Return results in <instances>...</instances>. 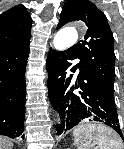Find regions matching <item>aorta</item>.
Listing matches in <instances>:
<instances>
[{"label": "aorta", "instance_id": "762f6f07", "mask_svg": "<svg viewBox=\"0 0 124 149\" xmlns=\"http://www.w3.org/2000/svg\"><path fill=\"white\" fill-rule=\"evenodd\" d=\"M78 40V33L73 27H64L60 29L54 36L53 43L57 49L63 50L73 44Z\"/></svg>", "mask_w": 124, "mask_h": 149}]
</instances>
